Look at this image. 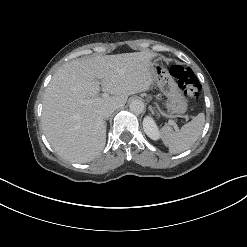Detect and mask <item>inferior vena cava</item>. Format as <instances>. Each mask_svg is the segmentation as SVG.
<instances>
[{
  "label": "inferior vena cava",
  "instance_id": "inferior-vena-cava-1",
  "mask_svg": "<svg viewBox=\"0 0 247 247\" xmlns=\"http://www.w3.org/2000/svg\"><path fill=\"white\" fill-rule=\"evenodd\" d=\"M118 107L116 105L110 104L102 107L100 114L102 118H108Z\"/></svg>",
  "mask_w": 247,
  "mask_h": 247
}]
</instances>
